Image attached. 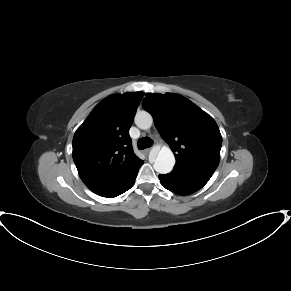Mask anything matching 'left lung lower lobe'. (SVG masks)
<instances>
[{
  "label": "left lung lower lobe",
  "mask_w": 291,
  "mask_h": 291,
  "mask_svg": "<svg viewBox=\"0 0 291 291\" xmlns=\"http://www.w3.org/2000/svg\"><path fill=\"white\" fill-rule=\"evenodd\" d=\"M162 186L178 195H189L201 189L210 178L171 171L159 175Z\"/></svg>",
  "instance_id": "left-lung-lower-lobe-1"
}]
</instances>
